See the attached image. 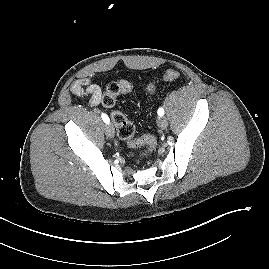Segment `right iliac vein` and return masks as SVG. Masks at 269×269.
<instances>
[{
    "label": "right iliac vein",
    "instance_id": "63e3f726",
    "mask_svg": "<svg viewBox=\"0 0 269 269\" xmlns=\"http://www.w3.org/2000/svg\"><path fill=\"white\" fill-rule=\"evenodd\" d=\"M105 133L110 138L114 137L115 131H114V127L112 126V124H107V126L105 127Z\"/></svg>",
    "mask_w": 269,
    "mask_h": 269
}]
</instances>
